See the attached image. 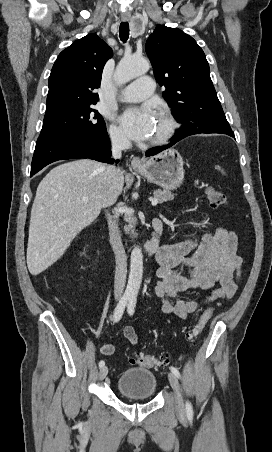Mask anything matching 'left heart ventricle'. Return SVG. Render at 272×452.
Segmentation results:
<instances>
[{
    "label": "left heart ventricle",
    "mask_w": 272,
    "mask_h": 452,
    "mask_svg": "<svg viewBox=\"0 0 272 452\" xmlns=\"http://www.w3.org/2000/svg\"><path fill=\"white\" fill-rule=\"evenodd\" d=\"M165 129V121L161 115L155 118L150 139L159 136Z\"/></svg>",
    "instance_id": "1"
}]
</instances>
